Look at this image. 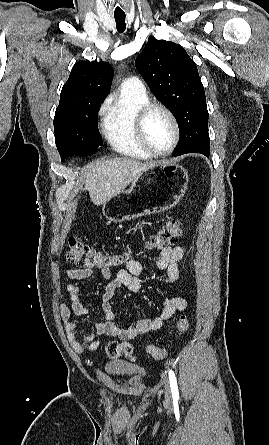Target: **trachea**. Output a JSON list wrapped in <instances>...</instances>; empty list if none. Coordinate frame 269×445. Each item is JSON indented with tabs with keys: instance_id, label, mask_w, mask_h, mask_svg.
Listing matches in <instances>:
<instances>
[{
	"instance_id": "3493384b",
	"label": "trachea",
	"mask_w": 269,
	"mask_h": 445,
	"mask_svg": "<svg viewBox=\"0 0 269 445\" xmlns=\"http://www.w3.org/2000/svg\"><path fill=\"white\" fill-rule=\"evenodd\" d=\"M116 28L119 33H123L126 29L125 15H116Z\"/></svg>"
}]
</instances>
